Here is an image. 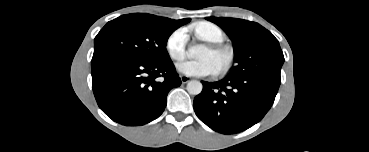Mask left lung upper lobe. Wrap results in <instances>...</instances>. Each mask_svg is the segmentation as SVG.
I'll list each match as a JSON object with an SVG mask.
<instances>
[{
  "instance_id": "5c2ea615",
  "label": "left lung upper lobe",
  "mask_w": 369,
  "mask_h": 152,
  "mask_svg": "<svg viewBox=\"0 0 369 152\" xmlns=\"http://www.w3.org/2000/svg\"><path fill=\"white\" fill-rule=\"evenodd\" d=\"M231 38L236 65L229 75L280 78L284 56L278 40L258 23L225 17H206Z\"/></svg>"
}]
</instances>
